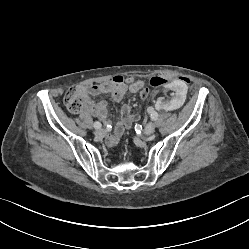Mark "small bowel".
Listing matches in <instances>:
<instances>
[{
  "mask_svg": "<svg viewBox=\"0 0 249 249\" xmlns=\"http://www.w3.org/2000/svg\"><path fill=\"white\" fill-rule=\"evenodd\" d=\"M178 78L182 79L185 83L187 82L186 78ZM78 90L84 95L87 101L85 111L95 117H98L106 125H109L110 119L108 117L107 103L105 101L94 103L90 99L91 95L109 94L114 101L119 102L127 93L134 94L137 92H143L147 89L145 88V83L143 80L134 81L132 78H124L121 75H116L109 81L98 84L79 86ZM138 118L139 116L137 114L132 113L131 107L129 105H123L121 107V119L117 123L114 132L107 136V144H115L118 141L119 137L123 134L124 129L126 127H129L131 123Z\"/></svg>",
  "mask_w": 249,
  "mask_h": 249,
  "instance_id": "c3829d8e",
  "label": "small bowel"
}]
</instances>
